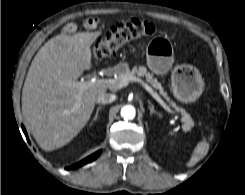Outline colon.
Instances as JSON below:
<instances>
[{
	"label": "colon",
	"mask_w": 245,
	"mask_h": 195,
	"mask_svg": "<svg viewBox=\"0 0 245 195\" xmlns=\"http://www.w3.org/2000/svg\"><path fill=\"white\" fill-rule=\"evenodd\" d=\"M155 28L152 23L131 19L114 25L104 39L98 40L92 50L95 61L114 55L131 41H140L153 35Z\"/></svg>",
	"instance_id": "1"
}]
</instances>
